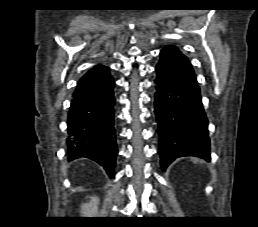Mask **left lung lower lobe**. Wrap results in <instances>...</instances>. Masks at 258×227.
<instances>
[{"label": "left lung lower lobe", "instance_id": "left-lung-lower-lobe-1", "mask_svg": "<svg viewBox=\"0 0 258 227\" xmlns=\"http://www.w3.org/2000/svg\"><path fill=\"white\" fill-rule=\"evenodd\" d=\"M155 69L154 104L162 170L182 156L209 161L208 122L191 63L175 46H166Z\"/></svg>", "mask_w": 258, "mask_h": 227}]
</instances>
